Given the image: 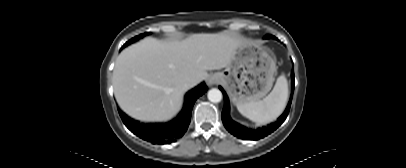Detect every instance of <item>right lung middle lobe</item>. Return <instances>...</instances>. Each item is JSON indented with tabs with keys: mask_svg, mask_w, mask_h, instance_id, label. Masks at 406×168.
<instances>
[{
	"mask_svg": "<svg viewBox=\"0 0 406 168\" xmlns=\"http://www.w3.org/2000/svg\"><path fill=\"white\" fill-rule=\"evenodd\" d=\"M147 34H149V33L140 34V35H138V36L132 38L131 40H129L128 42H126V44H124V46H126V45H128V44H130V43H132V42H134V41H136V40L139 39V38H142L143 36H145V35H147Z\"/></svg>",
	"mask_w": 406,
	"mask_h": 168,
	"instance_id": "obj_1",
	"label": "right lung middle lobe"
}]
</instances>
